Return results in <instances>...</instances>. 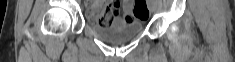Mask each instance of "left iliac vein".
<instances>
[{
    "label": "left iliac vein",
    "mask_w": 235,
    "mask_h": 62,
    "mask_svg": "<svg viewBox=\"0 0 235 62\" xmlns=\"http://www.w3.org/2000/svg\"><path fill=\"white\" fill-rule=\"evenodd\" d=\"M155 9H156V5L153 4V3H150V4H149V10H150V12H154Z\"/></svg>",
    "instance_id": "4c4485c4"
}]
</instances>
